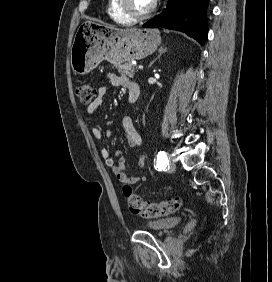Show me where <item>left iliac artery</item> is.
<instances>
[{
  "label": "left iliac artery",
  "mask_w": 272,
  "mask_h": 282,
  "mask_svg": "<svg viewBox=\"0 0 272 282\" xmlns=\"http://www.w3.org/2000/svg\"><path fill=\"white\" fill-rule=\"evenodd\" d=\"M167 166H168L167 154L164 151H160L156 159V168H158V170H165Z\"/></svg>",
  "instance_id": "1"
}]
</instances>
